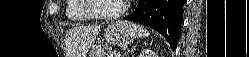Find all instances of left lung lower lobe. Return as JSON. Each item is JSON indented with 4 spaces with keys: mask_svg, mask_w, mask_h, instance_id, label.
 <instances>
[{
    "mask_svg": "<svg viewBox=\"0 0 249 57\" xmlns=\"http://www.w3.org/2000/svg\"><path fill=\"white\" fill-rule=\"evenodd\" d=\"M186 0H139L136 10L125 20L139 22L161 33L176 49Z\"/></svg>",
    "mask_w": 249,
    "mask_h": 57,
    "instance_id": "obj_1",
    "label": "left lung lower lobe"
}]
</instances>
